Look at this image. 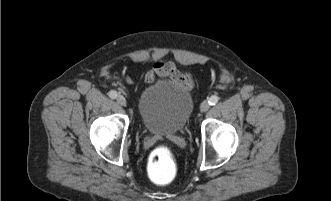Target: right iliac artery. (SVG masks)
<instances>
[{"instance_id": "right-iliac-artery-1", "label": "right iliac artery", "mask_w": 331, "mask_h": 201, "mask_svg": "<svg viewBox=\"0 0 331 201\" xmlns=\"http://www.w3.org/2000/svg\"><path fill=\"white\" fill-rule=\"evenodd\" d=\"M109 97L112 98V99H116L118 94L115 90H111L109 93H108Z\"/></svg>"}]
</instances>
